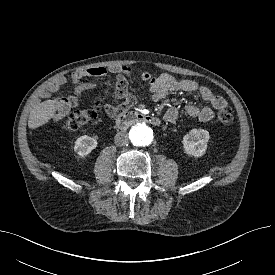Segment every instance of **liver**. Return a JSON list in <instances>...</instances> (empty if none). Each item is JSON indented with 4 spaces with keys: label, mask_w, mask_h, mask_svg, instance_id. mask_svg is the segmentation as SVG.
<instances>
[{
    "label": "liver",
    "mask_w": 275,
    "mask_h": 275,
    "mask_svg": "<svg viewBox=\"0 0 275 275\" xmlns=\"http://www.w3.org/2000/svg\"><path fill=\"white\" fill-rule=\"evenodd\" d=\"M62 108V102L58 100H47L35 107L30 112L28 126L31 129L38 128L55 116L57 110Z\"/></svg>",
    "instance_id": "liver-1"
}]
</instances>
